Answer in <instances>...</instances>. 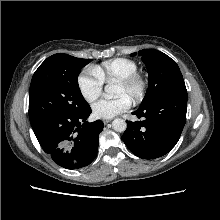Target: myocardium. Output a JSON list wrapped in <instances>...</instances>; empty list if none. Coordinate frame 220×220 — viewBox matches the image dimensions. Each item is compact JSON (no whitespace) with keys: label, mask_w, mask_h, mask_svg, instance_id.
Instances as JSON below:
<instances>
[{"label":"myocardium","mask_w":220,"mask_h":220,"mask_svg":"<svg viewBox=\"0 0 220 220\" xmlns=\"http://www.w3.org/2000/svg\"><path fill=\"white\" fill-rule=\"evenodd\" d=\"M116 84L126 89L133 90V94L131 96V100L133 102H139L145 97L148 86L147 78L138 71L117 81Z\"/></svg>","instance_id":"f54148a6"}]
</instances>
